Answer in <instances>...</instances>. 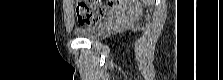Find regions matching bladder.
Listing matches in <instances>:
<instances>
[{"mask_svg":"<svg viewBox=\"0 0 223 80\" xmlns=\"http://www.w3.org/2000/svg\"><path fill=\"white\" fill-rule=\"evenodd\" d=\"M106 30V24H98L95 26L89 27H78L75 29V35L81 38L87 39H97L99 38Z\"/></svg>","mask_w":223,"mask_h":80,"instance_id":"1","label":"bladder"}]
</instances>
